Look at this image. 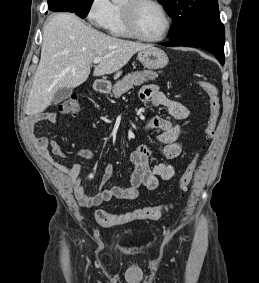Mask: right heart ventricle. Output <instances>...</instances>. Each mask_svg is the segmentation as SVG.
<instances>
[{"instance_id":"obj_1","label":"right heart ventricle","mask_w":259,"mask_h":283,"mask_svg":"<svg viewBox=\"0 0 259 283\" xmlns=\"http://www.w3.org/2000/svg\"><path fill=\"white\" fill-rule=\"evenodd\" d=\"M104 27L110 34L117 37L132 36L125 25L122 6L118 2L112 3L111 14Z\"/></svg>"}]
</instances>
